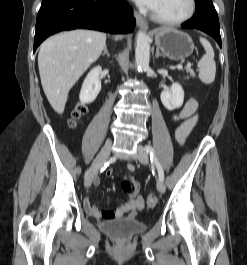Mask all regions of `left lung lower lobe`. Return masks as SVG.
I'll use <instances>...</instances> for the list:
<instances>
[{"label": "left lung lower lobe", "instance_id": "left-lung-lower-lobe-1", "mask_svg": "<svg viewBox=\"0 0 247 265\" xmlns=\"http://www.w3.org/2000/svg\"><path fill=\"white\" fill-rule=\"evenodd\" d=\"M196 12L191 19L183 23V28H195L211 35L221 47V36L217 12L212 0H195Z\"/></svg>", "mask_w": 247, "mask_h": 265}]
</instances>
